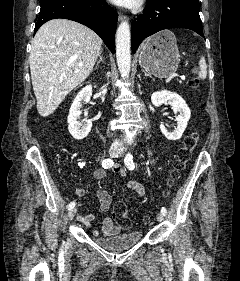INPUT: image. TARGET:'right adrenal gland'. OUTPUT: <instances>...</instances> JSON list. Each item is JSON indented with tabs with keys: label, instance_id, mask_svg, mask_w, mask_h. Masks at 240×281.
I'll return each instance as SVG.
<instances>
[{
	"label": "right adrenal gland",
	"instance_id": "right-adrenal-gland-1",
	"mask_svg": "<svg viewBox=\"0 0 240 281\" xmlns=\"http://www.w3.org/2000/svg\"><path fill=\"white\" fill-rule=\"evenodd\" d=\"M101 54H102V49H101V51H100V53L98 55L99 56V60L96 63V69L99 67L100 62H103V58H102Z\"/></svg>",
	"mask_w": 240,
	"mask_h": 281
}]
</instances>
